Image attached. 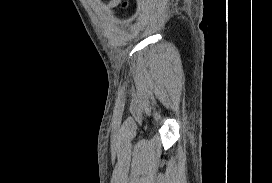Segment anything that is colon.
I'll return each mask as SVG.
<instances>
[{"label": "colon", "mask_w": 272, "mask_h": 183, "mask_svg": "<svg viewBox=\"0 0 272 183\" xmlns=\"http://www.w3.org/2000/svg\"><path fill=\"white\" fill-rule=\"evenodd\" d=\"M127 6H128V2H124L123 3V8H127Z\"/></svg>", "instance_id": "1"}]
</instances>
